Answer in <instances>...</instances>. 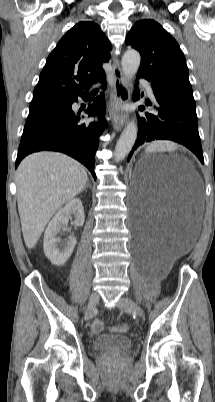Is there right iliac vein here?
I'll use <instances>...</instances> for the list:
<instances>
[{
	"label": "right iliac vein",
	"mask_w": 215,
	"mask_h": 402,
	"mask_svg": "<svg viewBox=\"0 0 215 402\" xmlns=\"http://www.w3.org/2000/svg\"><path fill=\"white\" fill-rule=\"evenodd\" d=\"M98 302H99V295L97 293H95V292L92 293L90 295L89 303H88L87 308L85 310V314H84L85 320H89L92 317Z\"/></svg>",
	"instance_id": "63e3f726"
}]
</instances>
